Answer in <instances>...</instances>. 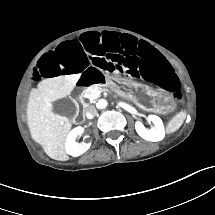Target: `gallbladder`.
I'll list each match as a JSON object with an SVG mask.
<instances>
[{
	"instance_id": "gallbladder-1",
	"label": "gallbladder",
	"mask_w": 215,
	"mask_h": 215,
	"mask_svg": "<svg viewBox=\"0 0 215 215\" xmlns=\"http://www.w3.org/2000/svg\"><path fill=\"white\" fill-rule=\"evenodd\" d=\"M53 107L55 109V113L61 116L73 118L76 115V104L68 97L55 101Z\"/></svg>"
}]
</instances>
